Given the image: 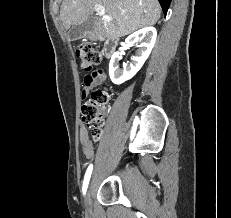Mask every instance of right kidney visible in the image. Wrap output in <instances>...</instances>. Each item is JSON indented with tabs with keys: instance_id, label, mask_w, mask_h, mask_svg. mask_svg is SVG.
Wrapping results in <instances>:
<instances>
[{
	"instance_id": "1",
	"label": "right kidney",
	"mask_w": 231,
	"mask_h": 218,
	"mask_svg": "<svg viewBox=\"0 0 231 218\" xmlns=\"http://www.w3.org/2000/svg\"><path fill=\"white\" fill-rule=\"evenodd\" d=\"M156 36L157 32L154 27H146L127 37L125 40V48L132 46L138 41L143 42L138 46L139 50L136 54L132 56V62H130V64H123V68L119 67V61L122 58L125 48H120L119 51L112 55L109 63V75L114 84H122L126 80L131 79L141 69L154 47Z\"/></svg>"
}]
</instances>
